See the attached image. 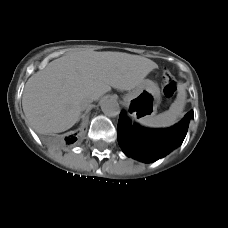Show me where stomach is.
<instances>
[{
    "instance_id": "stomach-1",
    "label": "stomach",
    "mask_w": 228,
    "mask_h": 228,
    "mask_svg": "<svg viewBox=\"0 0 228 228\" xmlns=\"http://www.w3.org/2000/svg\"><path fill=\"white\" fill-rule=\"evenodd\" d=\"M124 100L131 103L134 117L142 121L144 118L156 114L161 103L160 89L155 82L145 79L132 92L127 94Z\"/></svg>"
}]
</instances>
